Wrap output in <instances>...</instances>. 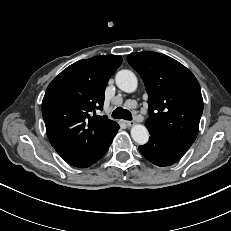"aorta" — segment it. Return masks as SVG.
<instances>
[{
    "label": "aorta",
    "instance_id": "762f6f07",
    "mask_svg": "<svg viewBox=\"0 0 231 231\" xmlns=\"http://www.w3.org/2000/svg\"><path fill=\"white\" fill-rule=\"evenodd\" d=\"M116 85L124 92L132 93L136 90L138 81L136 75L130 70H121L115 77ZM131 136L139 145H144L149 140V132L142 124H135L131 128Z\"/></svg>",
    "mask_w": 231,
    "mask_h": 231
}]
</instances>
